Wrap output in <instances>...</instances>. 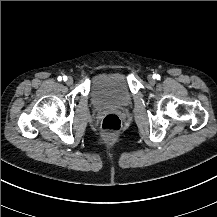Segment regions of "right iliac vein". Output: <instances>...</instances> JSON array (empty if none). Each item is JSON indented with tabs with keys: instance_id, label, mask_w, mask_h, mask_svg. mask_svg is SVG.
Wrapping results in <instances>:
<instances>
[{
	"instance_id": "63e3f726",
	"label": "right iliac vein",
	"mask_w": 217,
	"mask_h": 217,
	"mask_svg": "<svg viewBox=\"0 0 217 217\" xmlns=\"http://www.w3.org/2000/svg\"><path fill=\"white\" fill-rule=\"evenodd\" d=\"M66 83H67L68 85L73 84V79H72V77H68L67 80H66Z\"/></svg>"
}]
</instances>
